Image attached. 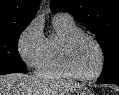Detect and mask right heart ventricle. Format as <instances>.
<instances>
[{
    "mask_svg": "<svg viewBox=\"0 0 119 95\" xmlns=\"http://www.w3.org/2000/svg\"><path fill=\"white\" fill-rule=\"evenodd\" d=\"M55 33L46 38L40 63L37 67L38 74L51 78H69L62 67L60 60L61 44L64 38L78 30L73 20L53 19Z\"/></svg>",
    "mask_w": 119,
    "mask_h": 95,
    "instance_id": "right-heart-ventricle-1",
    "label": "right heart ventricle"
}]
</instances>
